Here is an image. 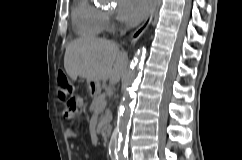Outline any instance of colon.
<instances>
[{
  "label": "colon",
  "instance_id": "1",
  "mask_svg": "<svg viewBox=\"0 0 242 160\" xmlns=\"http://www.w3.org/2000/svg\"><path fill=\"white\" fill-rule=\"evenodd\" d=\"M57 79L59 85L58 98L62 103H65L68 114L74 116L77 114L78 103L73 98V86L64 72L58 73Z\"/></svg>",
  "mask_w": 242,
  "mask_h": 160
}]
</instances>
